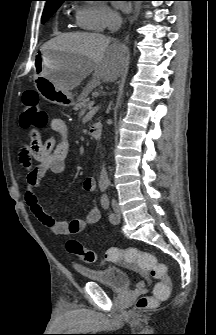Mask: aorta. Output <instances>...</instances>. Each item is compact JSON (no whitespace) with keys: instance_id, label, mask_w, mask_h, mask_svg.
Here are the masks:
<instances>
[{"instance_id":"1","label":"aorta","mask_w":216,"mask_h":335,"mask_svg":"<svg viewBox=\"0 0 216 335\" xmlns=\"http://www.w3.org/2000/svg\"><path fill=\"white\" fill-rule=\"evenodd\" d=\"M109 176L105 166L103 165L100 171L99 184L100 185H109Z\"/></svg>"}]
</instances>
